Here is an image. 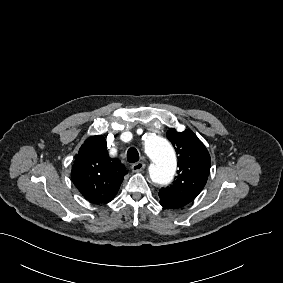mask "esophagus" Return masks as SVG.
Wrapping results in <instances>:
<instances>
[{
  "label": "esophagus",
  "instance_id": "obj_1",
  "mask_svg": "<svg viewBox=\"0 0 283 283\" xmlns=\"http://www.w3.org/2000/svg\"><path fill=\"white\" fill-rule=\"evenodd\" d=\"M146 167V164L144 162H137L131 165V169L133 172H140L144 170Z\"/></svg>",
  "mask_w": 283,
  "mask_h": 283
}]
</instances>
